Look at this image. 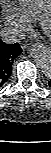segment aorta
<instances>
[{
  "label": "aorta",
  "mask_w": 51,
  "mask_h": 153,
  "mask_svg": "<svg viewBox=\"0 0 51 153\" xmlns=\"http://www.w3.org/2000/svg\"><path fill=\"white\" fill-rule=\"evenodd\" d=\"M33 56L39 63L42 72L46 77L51 76V51L44 45L33 47Z\"/></svg>",
  "instance_id": "aorta-1"
}]
</instances>
